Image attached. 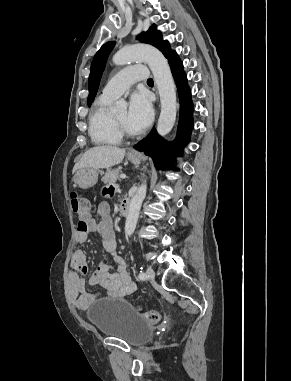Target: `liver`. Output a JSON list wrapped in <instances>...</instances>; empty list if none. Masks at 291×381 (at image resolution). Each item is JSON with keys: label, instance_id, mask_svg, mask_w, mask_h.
I'll list each match as a JSON object with an SVG mask.
<instances>
[{"label": "liver", "instance_id": "6515ba94", "mask_svg": "<svg viewBox=\"0 0 291 381\" xmlns=\"http://www.w3.org/2000/svg\"><path fill=\"white\" fill-rule=\"evenodd\" d=\"M125 149L115 146H97L86 151L73 167V173L81 169H105L122 162Z\"/></svg>", "mask_w": 291, "mask_h": 381}]
</instances>
